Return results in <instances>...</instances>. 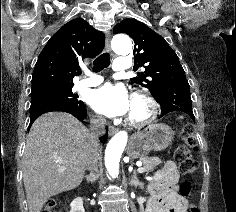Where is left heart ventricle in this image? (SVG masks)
I'll return each instance as SVG.
<instances>
[{
    "instance_id": "obj_1",
    "label": "left heart ventricle",
    "mask_w": 236,
    "mask_h": 212,
    "mask_svg": "<svg viewBox=\"0 0 236 212\" xmlns=\"http://www.w3.org/2000/svg\"><path fill=\"white\" fill-rule=\"evenodd\" d=\"M143 112V106L138 102H132L130 113L135 116L141 115Z\"/></svg>"
}]
</instances>
